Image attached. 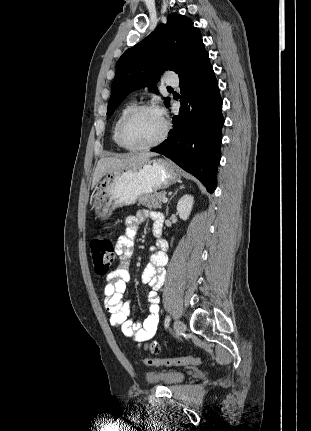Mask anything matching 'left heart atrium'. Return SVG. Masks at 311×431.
<instances>
[{"label":"left heart atrium","instance_id":"1","mask_svg":"<svg viewBox=\"0 0 311 431\" xmlns=\"http://www.w3.org/2000/svg\"><path fill=\"white\" fill-rule=\"evenodd\" d=\"M157 111L160 113L161 116H163L164 110L160 107H158Z\"/></svg>","mask_w":311,"mask_h":431}]
</instances>
